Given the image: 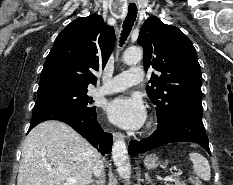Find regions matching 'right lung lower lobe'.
Wrapping results in <instances>:
<instances>
[{"instance_id": "98d812e1", "label": "right lung lower lobe", "mask_w": 233, "mask_h": 185, "mask_svg": "<svg viewBox=\"0 0 233 185\" xmlns=\"http://www.w3.org/2000/svg\"><path fill=\"white\" fill-rule=\"evenodd\" d=\"M46 120H59L70 125L74 130L87 139L102 154H108L112 148V135L103 133L95 113L56 107L39 106L32 111V120L28 132L37 124Z\"/></svg>"}]
</instances>
